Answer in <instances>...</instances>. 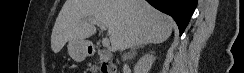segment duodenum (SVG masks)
I'll return each mask as SVG.
<instances>
[{
	"label": "duodenum",
	"mask_w": 244,
	"mask_h": 73,
	"mask_svg": "<svg viewBox=\"0 0 244 73\" xmlns=\"http://www.w3.org/2000/svg\"><path fill=\"white\" fill-rule=\"evenodd\" d=\"M89 54H93L95 51L91 47L89 48ZM102 73H115V70L111 67V64L105 62L102 65Z\"/></svg>",
	"instance_id": "duodenum-1"
}]
</instances>
